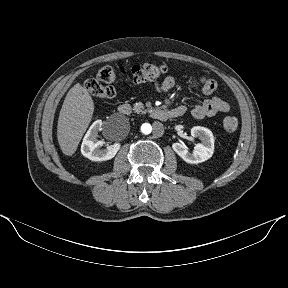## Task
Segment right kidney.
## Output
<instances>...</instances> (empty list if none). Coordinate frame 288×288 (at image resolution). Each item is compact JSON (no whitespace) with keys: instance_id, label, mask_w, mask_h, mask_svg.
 I'll use <instances>...</instances> for the list:
<instances>
[{"instance_id":"obj_1","label":"right kidney","mask_w":288,"mask_h":288,"mask_svg":"<svg viewBox=\"0 0 288 288\" xmlns=\"http://www.w3.org/2000/svg\"><path fill=\"white\" fill-rule=\"evenodd\" d=\"M103 129L102 120H96L87 131L82 145L81 153L84 157L92 161H106L112 159L120 149V143L107 146L106 149H100L103 145L102 141H97L96 137L99 131Z\"/></svg>"}]
</instances>
